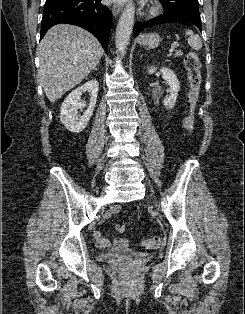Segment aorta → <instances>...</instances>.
<instances>
[{"label":"aorta","mask_w":245,"mask_h":314,"mask_svg":"<svg viewBox=\"0 0 245 314\" xmlns=\"http://www.w3.org/2000/svg\"><path fill=\"white\" fill-rule=\"evenodd\" d=\"M134 16L135 7L129 2L120 16L115 33V45L120 56L126 54L127 45L133 30Z\"/></svg>","instance_id":"aorta-1"}]
</instances>
